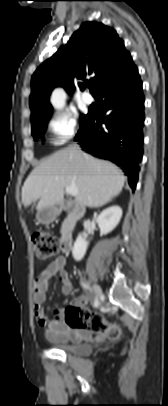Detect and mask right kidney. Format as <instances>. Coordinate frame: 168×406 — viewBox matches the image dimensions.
<instances>
[{
    "mask_svg": "<svg viewBox=\"0 0 168 406\" xmlns=\"http://www.w3.org/2000/svg\"><path fill=\"white\" fill-rule=\"evenodd\" d=\"M121 217L122 209L119 206L115 205L103 210L96 219L101 235L110 233L118 225ZM88 244L82 234H79L72 249L76 261H80L84 257Z\"/></svg>",
    "mask_w": 168,
    "mask_h": 406,
    "instance_id": "1",
    "label": "right kidney"
}]
</instances>
